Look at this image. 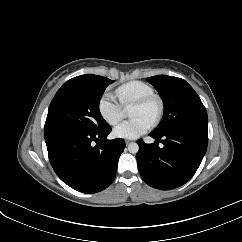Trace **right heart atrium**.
I'll list each match as a JSON object with an SVG mask.
<instances>
[{
	"mask_svg": "<svg viewBox=\"0 0 242 242\" xmlns=\"http://www.w3.org/2000/svg\"><path fill=\"white\" fill-rule=\"evenodd\" d=\"M99 112L110 125H115L124 117L125 111L120 102L111 94H105L98 104Z\"/></svg>",
	"mask_w": 242,
	"mask_h": 242,
	"instance_id": "1",
	"label": "right heart atrium"
}]
</instances>
